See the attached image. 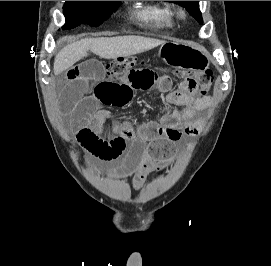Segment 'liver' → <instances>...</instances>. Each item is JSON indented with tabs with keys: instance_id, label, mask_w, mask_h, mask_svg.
I'll return each instance as SVG.
<instances>
[{
	"instance_id": "1",
	"label": "liver",
	"mask_w": 271,
	"mask_h": 266,
	"mask_svg": "<svg viewBox=\"0 0 271 266\" xmlns=\"http://www.w3.org/2000/svg\"><path fill=\"white\" fill-rule=\"evenodd\" d=\"M164 43L163 40L142 36L83 39L66 46L56 55L54 74H61V67H72L74 62L86 57L89 50L100 58L115 59L139 54Z\"/></svg>"
}]
</instances>
